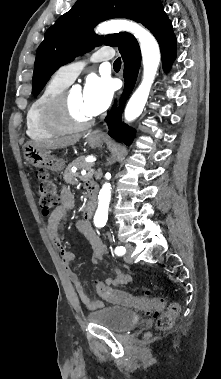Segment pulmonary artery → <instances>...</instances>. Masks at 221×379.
<instances>
[{"mask_svg":"<svg viewBox=\"0 0 221 379\" xmlns=\"http://www.w3.org/2000/svg\"><path fill=\"white\" fill-rule=\"evenodd\" d=\"M113 56H114V51L112 49L101 48L92 54L90 60L93 62H100L104 60H109ZM84 66H85V62L83 61L73 62V63L60 67L57 70L56 75L62 80L70 84L79 75V73L82 71Z\"/></svg>","mask_w":221,"mask_h":379,"instance_id":"1","label":"pulmonary artery"}]
</instances>
